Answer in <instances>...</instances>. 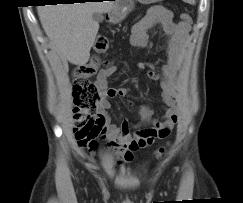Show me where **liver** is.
Segmentation results:
<instances>
[{
  "label": "liver",
  "mask_w": 243,
  "mask_h": 203,
  "mask_svg": "<svg viewBox=\"0 0 243 203\" xmlns=\"http://www.w3.org/2000/svg\"><path fill=\"white\" fill-rule=\"evenodd\" d=\"M113 1L43 5L38 15L53 47L74 65H85L99 24L93 13L109 12Z\"/></svg>",
  "instance_id": "6515ba94"
}]
</instances>
